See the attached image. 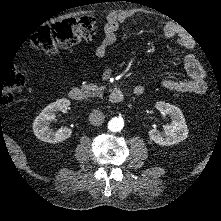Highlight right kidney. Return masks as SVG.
Masks as SVG:
<instances>
[{
	"mask_svg": "<svg viewBox=\"0 0 221 221\" xmlns=\"http://www.w3.org/2000/svg\"><path fill=\"white\" fill-rule=\"evenodd\" d=\"M70 105L71 101L68 98H60L48 104L33 120L32 129L35 135L39 139L50 143H58L70 137L71 130L65 126L57 131L51 129L56 113L65 111Z\"/></svg>",
	"mask_w": 221,
	"mask_h": 221,
	"instance_id": "ca27d5eb",
	"label": "right kidney"
}]
</instances>
